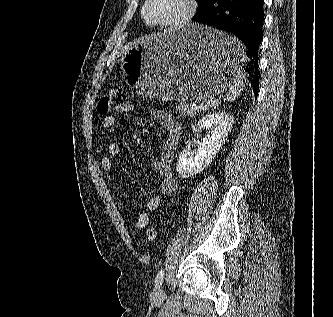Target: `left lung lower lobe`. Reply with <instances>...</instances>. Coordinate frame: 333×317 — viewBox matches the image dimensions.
Returning <instances> with one entry per match:
<instances>
[{
  "label": "left lung lower lobe",
  "instance_id": "obj_1",
  "mask_svg": "<svg viewBox=\"0 0 333 317\" xmlns=\"http://www.w3.org/2000/svg\"><path fill=\"white\" fill-rule=\"evenodd\" d=\"M264 0H211L193 21L237 36L246 46L250 59L245 70L255 97L259 88L258 51L263 37ZM216 53L234 59L231 46L224 44Z\"/></svg>",
  "mask_w": 333,
  "mask_h": 317
}]
</instances>
